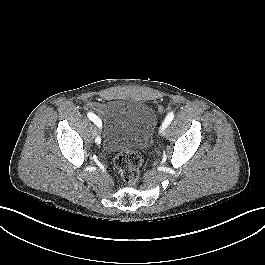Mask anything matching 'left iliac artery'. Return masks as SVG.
Listing matches in <instances>:
<instances>
[{
    "instance_id": "obj_1",
    "label": "left iliac artery",
    "mask_w": 265,
    "mask_h": 265,
    "mask_svg": "<svg viewBox=\"0 0 265 265\" xmlns=\"http://www.w3.org/2000/svg\"><path fill=\"white\" fill-rule=\"evenodd\" d=\"M173 118H174V113L173 112H170L166 116V118H165V120H164V122L162 124V127H161V130L162 131L171 123V121L173 120Z\"/></svg>"
}]
</instances>
